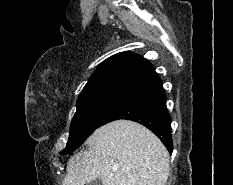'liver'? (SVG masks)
<instances>
[{
  "label": "liver",
  "instance_id": "obj_1",
  "mask_svg": "<svg viewBox=\"0 0 233 185\" xmlns=\"http://www.w3.org/2000/svg\"><path fill=\"white\" fill-rule=\"evenodd\" d=\"M82 150L68 160L62 185H165L169 153L146 127L116 120L94 131Z\"/></svg>",
  "mask_w": 233,
  "mask_h": 185
}]
</instances>
